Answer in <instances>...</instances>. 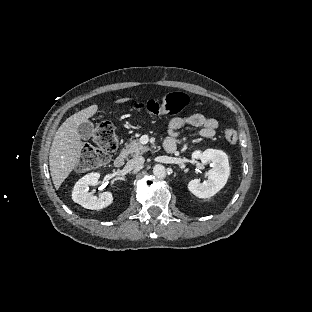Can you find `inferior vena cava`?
I'll return each mask as SVG.
<instances>
[{"instance_id": "1", "label": "inferior vena cava", "mask_w": 312, "mask_h": 312, "mask_svg": "<svg viewBox=\"0 0 312 312\" xmlns=\"http://www.w3.org/2000/svg\"><path fill=\"white\" fill-rule=\"evenodd\" d=\"M144 162H145L144 157H142V156H136V157H134L133 159H131V160L129 161L128 165H129L130 167L134 168V167H138V166L143 165Z\"/></svg>"}]
</instances>
